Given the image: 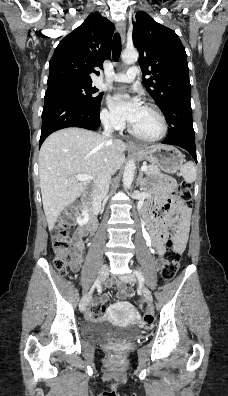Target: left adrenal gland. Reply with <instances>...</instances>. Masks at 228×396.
<instances>
[{"instance_id":"a2214340","label":"left adrenal gland","mask_w":228,"mask_h":396,"mask_svg":"<svg viewBox=\"0 0 228 396\" xmlns=\"http://www.w3.org/2000/svg\"><path fill=\"white\" fill-rule=\"evenodd\" d=\"M143 184H144L143 173L140 171L139 176L137 178V186L139 185L140 187H142Z\"/></svg>"}]
</instances>
